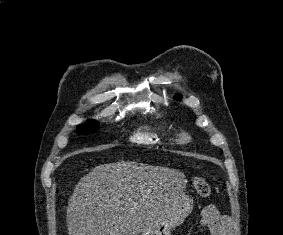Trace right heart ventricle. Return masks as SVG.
<instances>
[{"label": "right heart ventricle", "instance_id": "e07e8e85", "mask_svg": "<svg viewBox=\"0 0 283 235\" xmlns=\"http://www.w3.org/2000/svg\"><path fill=\"white\" fill-rule=\"evenodd\" d=\"M132 140L144 146L154 147L164 144L166 138L156 129H143L136 131L132 136Z\"/></svg>", "mask_w": 283, "mask_h": 235}]
</instances>
